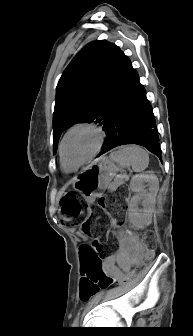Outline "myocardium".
Masks as SVG:
<instances>
[{"label": "myocardium", "mask_w": 193, "mask_h": 336, "mask_svg": "<svg viewBox=\"0 0 193 336\" xmlns=\"http://www.w3.org/2000/svg\"><path fill=\"white\" fill-rule=\"evenodd\" d=\"M82 128H85V129H90L92 130L93 132H95L97 134V137H98V143H97V146L96 148L94 149V151L86 158L84 159L83 161L73 165L71 163H69L65 156H64V144H65V141L67 139V137L75 130L77 129H82ZM104 141H105V133L104 131L98 127L97 125L93 124V123H88V122H80V123H76L74 124L73 126H71L66 132L65 134L63 135L61 141H60V145H59V154H60V158H61V161L63 162V164L71 169H78L80 166L84 165L85 163L89 162L90 160H92L102 149L103 147V144H104Z\"/></svg>", "instance_id": "obj_1"}]
</instances>
